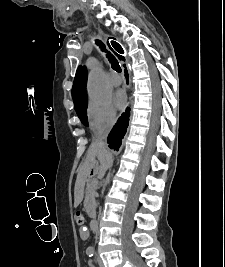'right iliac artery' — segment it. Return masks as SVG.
<instances>
[{"label":"right iliac artery","mask_w":225,"mask_h":267,"mask_svg":"<svg viewBox=\"0 0 225 267\" xmlns=\"http://www.w3.org/2000/svg\"><path fill=\"white\" fill-rule=\"evenodd\" d=\"M86 253H87V255H88L89 257H92V256L94 255V250H93L92 248H88V249L86 250Z\"/></svg>","instance_id":"82829eb1"}]
</instances>
